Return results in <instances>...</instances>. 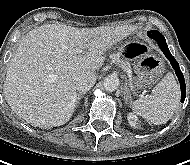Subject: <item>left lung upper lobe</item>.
<instances>
[{"label": "left lung upper lobe", "mask_w": 190, "mask_h": 165, "mask_svg": "<svg viewBox=\"0 0 190 165\" xmlns=\"http://www.w3.org/2000/svg\"><path fill=\"white\" fill-rule=\"evenodd\" d=\"M155 31L153 30V31H150L149 33H154Z\"/></svg>", "instance_id": "obj_1"}]
</instances>
